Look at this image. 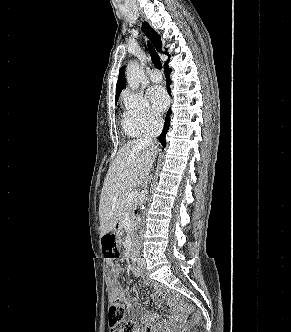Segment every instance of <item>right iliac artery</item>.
Masks as SVG:
<instances>
[{
    "instance_id": "right-iliac-artery-1",
    "label": "right iliac artery",
    "mask_w": 291,
    "mask_h": 332,
    "mask_svg": "<svg viewBox=\"0 0 291 332\" xmlns=\"http://www.w3.org/2000/svg\"><path fill=\"white\" fill-rule=\"evenodd\" d=\"M133 261H134V262H136V261H137V258H136V257H134V258H133Z\"/></svg>"
}]
</instances>
